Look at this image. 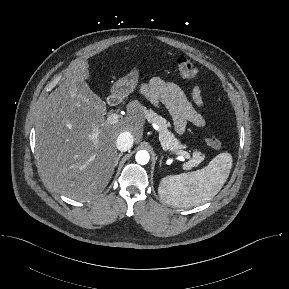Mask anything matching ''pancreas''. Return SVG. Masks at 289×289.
I'll list each match as a JSON object with an SVG mask.
<instances>
[{"mask_svg": "<svg viewBox=\"0 0 289 289\" xmlns=\"http://www.w3.org/2000/svg\"><path fill=\"white\" fill-rule=\"evenodd\" d=\"M145 117L150 123L158 125L160 131L159 140L165 150L178 152L185 148V146L180 144L179 140L168 130L169 123L162 116L151 110H146ZM203 159L204 156L201 155L200 152H194L193 158L184 164V168L191 169L192 167L197 166Z\"/></svg>", "mask_w": 289, "mask_h": 289, "instance_id": "1", "label": "pancreas"}]
</instances>
